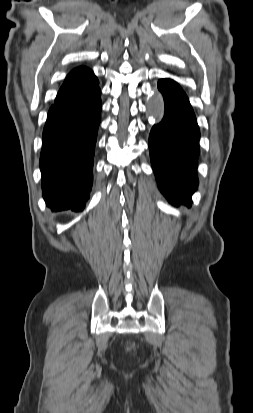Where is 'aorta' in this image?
Here are the masks:
<instances>
[{
    "instance_id": "762f6f07",
    "label": "aorta",
    "mask_w": 253,
    "mask_h": 413,
    "mask_svg": "<svg viewBox=\"0 0 253 413\" xmlns=\"http://www.w3.org/2000/svg\"><path fill=\"white\" fill-rule=\"evenodd\" d=\"M147 115L153 122H160L164 116V100L159 92H155L147 101Z\"/></svg>"
}]
</instances>
